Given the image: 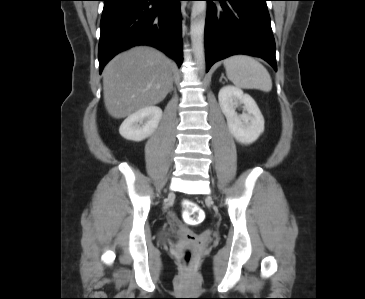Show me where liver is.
Wrapping results in <instances>:
<instances>
[{"instance_id":"6515ba94","label":"liver","mask_w":365,"mask_h":299,"mask_svg":"<svg viewBox=\"0 0 365 299\" xmlns=\"http://www.w3.org/2000/svg\"><path fill=\"white\" fill-rule=\"evenodd\" d=\"M173 71V62L150 47H136L118 55L103 74L108 113L120 119L160 103L171 91Z\"/></svg>"}]
</instances>
